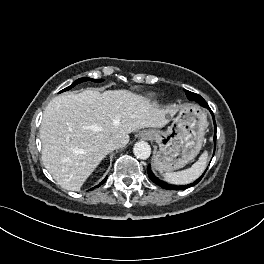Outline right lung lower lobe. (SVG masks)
<instances>
[{"label": "right lung lower lobe", "instance_id": "obj_1", "mask_svg": "<svg viewBox=\"0 0 264 264\" xmlns=\"http://www.w3.org/2000/svg\"><path fill=\"white\" fill-rule=\"evenodd\" d=\"M106 179H107V177L99 185L103 184L106 181ZM99 185H97L96 187H98ZM92 189H90V190H92Z\"/></svg>", "mask_w": 264, "mask_h": 264}]
</instances>
